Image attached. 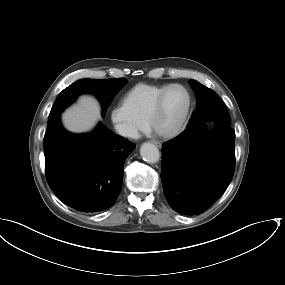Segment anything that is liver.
I'll use <instances>...</instances> for the list:
<instances>
[{"mask_svg":"<svg viewBox=\"0 0 285 285\" xmlns=\"http://www.w3.org/2000/svg\"><path fill=\"white\" fill-rule=\"evenodd\" d=\"M101 118L100 106L91 96H82L78 104L67 109L62 116L64 127L74 133L91 130Z\"/></svg>","mask_w":285,"mask_h":285,"instance_id":"obj_1","label":"liver"}]
</instances>
